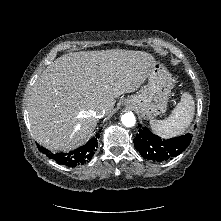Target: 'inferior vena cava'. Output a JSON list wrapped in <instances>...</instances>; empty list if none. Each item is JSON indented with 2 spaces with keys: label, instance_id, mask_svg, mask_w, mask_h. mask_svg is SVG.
<instances>
[{
  "label": "inferior vena cava",
  "instance_id": "obj_1",
  "mask_svg": "<svg viewBox=\"0 0 221 221\" xmlns=\"http://www.w3.org/2000/svg\"><path fill=\"white\" fill-rule=\"evenodd\" d=\"M105 113H106V110L103 107H98L93 110V116L95 118H102L105 115Z\"/></svg>",
  "mask_w": 221,
  "mask_h": 221
}]
</instances>
